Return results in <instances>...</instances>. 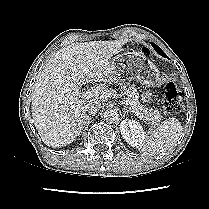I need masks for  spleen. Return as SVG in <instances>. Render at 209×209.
Returning <instances> with one entry per match:
<instances>
[{
	"mask_svg": "<svg viewBox=\"0 0 209 209\" xmlns=\"http://www.w3.org/2000/svg\"><path fill=\"white\" fill-rule=\"evenodd\" d=\"M183 128L181 123L171 118L156 127L141 145V151L146 155H156L165 152L180 138Z\"/></svg>",
	"mask_w": 209,
	"mask_h": 209,
	"instance_id": "spleen-1",
	"label": "spleen"
}]
</instances>
